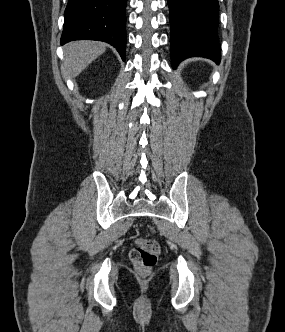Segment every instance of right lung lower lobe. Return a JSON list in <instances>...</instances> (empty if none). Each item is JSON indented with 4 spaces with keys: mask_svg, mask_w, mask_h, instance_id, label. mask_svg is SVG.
Returning a JSON list of instances; mask_svg holds the SVG:
<instances>
[{
    "mask_svg": "<svg viewBox=\"0 0 285 332\" xmlns=\"http://www.w3.org/2000/svg\"><path fill=\"white\" fill-rule=\"evenodd\" d=\"M127 0H69L61 44L78 39L104 41L125 60Z\"/></svg>",
    "mask_w": 285,
    "mask_h": 332,
    "instance_id": "98d812e1",
    "label": "right lung lower lobe"
}]
</instances>
